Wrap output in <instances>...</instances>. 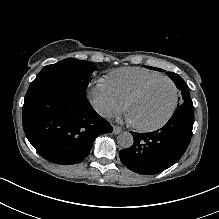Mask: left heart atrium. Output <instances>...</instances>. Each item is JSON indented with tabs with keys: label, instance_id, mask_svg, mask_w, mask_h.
I'll list each match as a JSON object with an SVG mask.
<instances>
[{
	"label": "left heart atrium",
	"instance_id": "left-heart-atrium-1",
	"mask_svg": "<svg viewBox=\"0 0 219 219\" xmlns=\"http://www.w3.org/2000/svg\"><path fill=\"white\" fill-rule=\"evenodd\" d=\"M126 120H127L128 122L133 123L132 118H131V116H130L128 113H127V115H126Z\"/></svg>",
	"mask_w": 219,
	"mask_h": 219
}]
</instances>
